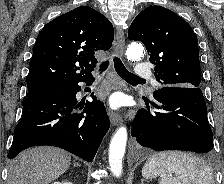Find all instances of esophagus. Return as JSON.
<instances>
[{
    "mask_svg": "<svg viewBox=\"0 0 224 184\" xmlns=\"http://www.w3.org/2000/svg\"><path fill=\"white\" fill-rule=\"evenodd\" d=\"M125 45V35L121 27H118L116 30L115 40H114V49L115 53L119 56L123 55ZM110 122L113 126H116L121 123V116L118 113L109 111L108 113Z\"/></svg>",
    "mask_w": 224,
    "mask_h": 184,
    "instance_id": "obj_1",
    "label": "esophagus"
}]
</instances>
